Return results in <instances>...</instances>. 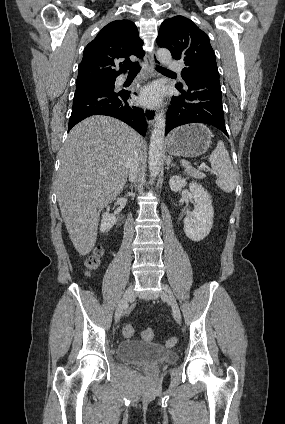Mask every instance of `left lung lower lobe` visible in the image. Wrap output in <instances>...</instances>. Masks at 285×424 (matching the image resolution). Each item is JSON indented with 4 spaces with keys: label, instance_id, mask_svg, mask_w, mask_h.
I'll list each match as a JSON object with an SVG mask.
<instances>
[{
    "label": "left lung lower lobe",
    "instance_id": "0a47b994",
    "mask_svg": "<svg viewBox=\"0 0 285 424\" xmlns=\"http://www.w3.org/2000/svg\"><path fill=\"white\" fill-rule=\"evenodd\" d=\"M186 85V91L182 85H176L181 95L172 97L166 114L165 135L184 124L206 123L228 136L219 77L211 74L198 75L186 81Z\"/></svg>",
    "mask_w": 285,
    "mask_h": 424
}]
</instances>
